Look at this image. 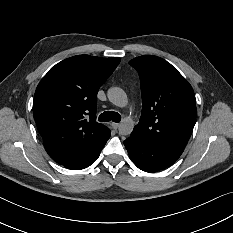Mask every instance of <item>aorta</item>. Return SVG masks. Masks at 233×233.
<instances>
[{"instance_id": "obj_1", "label": "aorta", "mask_w": 233, "mask_h": 233, "mask_svg": "<svg viewBox=\"0 0 233 233\" xmlns=\"http://www.w3.org/2000/svg\"><path fill=\"white\" fill-rule=\"evenodd\" d=\"M109 101L117 107L127 108L128 97L127 94L120 88H112L108 91ZM134 128V120L131 115H127L121 119L119 124V132L121 134H130Z\"/></svg>"}]
</instances>
